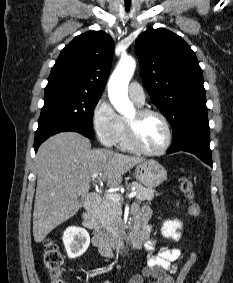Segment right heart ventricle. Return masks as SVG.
I'll return each mask as SVG.
<instances>
[{"instance_id":"e07e8e85","label":"right heart ventricle","mask_w":233,"mask_h":283,"mask_svg":"<svg viewBox=\"0 0 233 283\" xmlns=\"http://www.w3.org/2000/svg\"><path fill=\"white\" fill-rule=\"evenodd\" d=\"M117 143L122 150H126V151L133 150L127 139L125 120L122 118H121V130Z\"/></svg>"}]
</instances>
